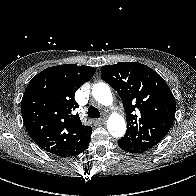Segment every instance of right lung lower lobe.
<instances>
[{
  "label": "right lung lower lobe",
  "instance_id": "obj_1",
  "mask_svg": "<svg viewBox=\"0 0 196 196\" xmlns=\"http://www.w3.org/2000/svg\"><path fill=\"white\" fill-rule=\"evenodd\" d=\"M90 135H91V133H90ZM90 135H88L84 139H82L74 148L70 149L66 153L61 154L59 156H61V157H72V156L80 154L81 152L86 150L89 143H90Z\"/></svg>",
  "mask_w": 196,
  "mask_h": 196
}]
</instances>
